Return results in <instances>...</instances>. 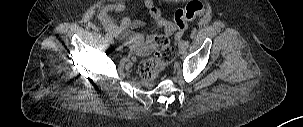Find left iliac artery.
Returning <instances> with one entry per match:
<instances>
[{"label": "left iliac artery", "mask_w": 303, "mask_h": 127, "mask_svg": "<svg viewBox=\"0 0 303 127\" xmlns=\"http://www.w3.org/2000/svg\"><path fill=\"white\" fill-rule=\"evenodd\" d=\"M185 42V44H186V46H187V48L189 47V41L188 40H186V41H184Z\"/></svg>", "instance_id": "obj_1"}]
</instances>
